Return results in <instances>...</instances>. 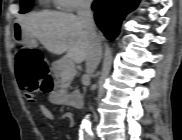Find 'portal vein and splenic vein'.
Segmentation results:
<instances>
[{"instance_id": "18ae733b", "label": "portal vein and splenic vein", "mask_w": 182, "mask_h": 140, "mask_svg": "<svg viewBox=\"0 0 182 140\" xmlns=\"http://www.w3.org/2000/svg\"><path fill=\"white\" fill-rule=\"evenodd\" d=\"M67 60L71 61V59H70V58H67Z\"/></svg>"}]
</instances>
